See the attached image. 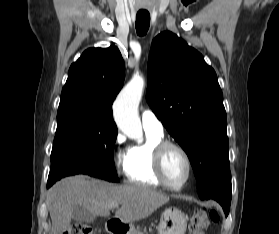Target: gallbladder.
Instances as JSON below:
<instances>
[{
    "label": "gallbladder",
    "mask_w": 279,
    "mask_h": 234,
    "mask_svg": "<svg viewBox=\"0 0 279 234\" xmlns=\"http://www.w3.org/2000/svg\"><path fill=\"white\" fill-rule=\"evenodd\" d=\"M72 219L76 221H88L91 222L94 220V215L88 211L86 208L80 205H76L72 212Z\"/></svg>",
    "instance_id": "gallbladder-1"
}]
</instances>
